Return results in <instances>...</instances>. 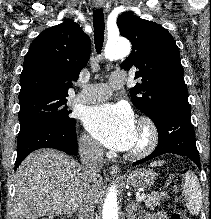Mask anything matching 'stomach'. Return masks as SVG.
<instances>
[{
	"label": "stomach",
	"instance_id": "0dacf381",
	"mask_svg": "<svg viewBox=\"0 0 211 219\" xmlns=\"http://www.w3.org/2000/svg\"><path fill=\"white\" fill-rule=\"evenodd\" d=\"M156 173L148 168H139L127 176V184L135 188H147L154 184Z\"/></svg>",
	"mask_w": 211,
	"mask_h": 219
}]
</instances>
